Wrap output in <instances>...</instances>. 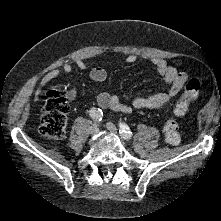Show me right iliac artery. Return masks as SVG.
Returning <instances> with one entry per match:
<instances>
[{
    "label": "right iliac artery",
    "mask_w": 221,
    "mask_h": 221,
    "mask_svg": "<svg viewBox=\"0 0 221 221\" xmlns=\"http://www.w3.org/2000/svg\"><path fill=\"white\" fill-rule=\"evenodd\" d=\"M90 112V116L93 120H96L97 122H100L103 120V112L101 109H97V108H91Z\"/></svg>",
    "instance_id": "1"
}]
</instances>
